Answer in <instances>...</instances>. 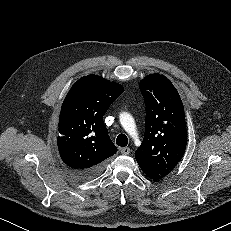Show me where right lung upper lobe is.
<instances>
[{"instance_id":"1","label":"right lung upper lobe","mask_w":231,"mask_h":231,"mask_svg":"<svg viewBox=\"0 0 231 231\" xmlns=\"http://www.w3.org/2000/svg\"><path fill=\"white\" fill-rule=\"evenodd\" d=\"M123 87L98 75L80 78L66 95L59 117L61 159L75 172L103 167L117 152L103 116Z\"/></svg>"}]
</instances>
